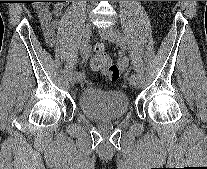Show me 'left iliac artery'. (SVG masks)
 <instances>
[{"mask_svg": "<svg viewBox=\"0 0 207 169\" xmlns=\"http://www.w3.org/2000/svg\"><path fill=\"white\" fill-rule=\"evenodd\" d=\"M124 53H120V59H118V64H119V68H122L121 70L124 71V74H131V76L129 77V79H134L137 77L136 74H133V69H124V68H128V63H127V56H125V50L123 51Z\"/></svg>", "mask_w": 207, "mask_h": 169, "instance_id": "1", "label": "left iliac artery"}]
</instances>
